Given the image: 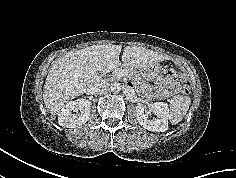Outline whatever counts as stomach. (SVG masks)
Returning <instances> with one entry per match:
<instances>
[{"label":"stomach","mask_w":236,"mask_h":178,"mask_svg":"<svg viewBox=\"0 0 236 178\" xmlns=\"http://www.w3.org/2000/svg\"><path fill=\"white\" fill-rule=\"evenodd\" d=\"M160 73L161 66L158 63L141 68L139 71V75L144 81H154Z\"/></svg>","instance_id":"stomach-1"}]
</instances>
